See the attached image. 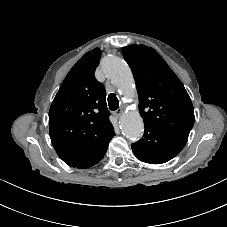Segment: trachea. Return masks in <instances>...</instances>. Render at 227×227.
I'll return each instance as SVG.
<instances>
[{
  "label": "trachea",
  "mask_w": 227,
  "mask_h": 227,
  "mask_svg": "<svg viewBox=\"0 0 227 227\" xmlns=\"http://www.w3.org/2000/svg\"><path fill=\"white\" fill-rule=\"evenodd\" d=\"M107 101H108V105H109V109L110 110L114 111V110H117L118 109V107H119V100H118V98L116 97L115 94L110 93L108 95Z\"/></svg>",
  "instance_id": "obj_1"
}]
</instances>
